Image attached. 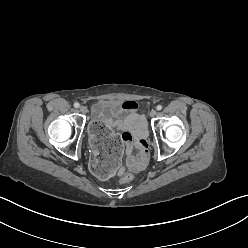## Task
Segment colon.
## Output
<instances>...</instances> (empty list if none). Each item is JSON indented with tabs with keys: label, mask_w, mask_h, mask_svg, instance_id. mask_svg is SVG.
I'll list each match as a JSON object with an SVG mask.
<instances>
[{
	"label": "colon",
	"mask_w": 248,
	"mask_h": 248,
	"mask_svg": "<svg viewBox=\"0 0 248 248\" xmlns=\"http://www.w3.org/2000/svg\"><path fill=\"white\" fill-rule=\"evenodd\" d=\"M90 131L92 133L90 142L96 149V154L90 161V168L100 178H107L109 172L116 171L123 165L124 152L121 149V139L104 122H93ZM132 180L131 174H121L123 184H129Z\"/></svg>",
	"instance_id": "5ec220e1"
}]
</instances>
